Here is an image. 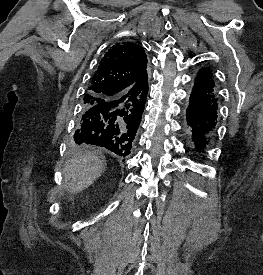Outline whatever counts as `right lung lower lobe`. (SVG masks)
I'll list each match as a JSON object with an SVG mask.
<instances>
[{"label":"right lung lower lobe","instance_id":"1","mask_svg":"<svg viewBox=\"0 0 263 275\" xmlns=\"http://www.w3.org/2000/svg\"><path fill=\"white\" fill-rule=\"evenodd\" d=\"M143 82L148 85L147 72L143 75ZM142 113L129 107L126 94L107 97L84 109L74 134V142L81 146L104 147L125 157L132 148Z\"/></svg>","mask_w":263,"mask_h":275}]
</instances>
